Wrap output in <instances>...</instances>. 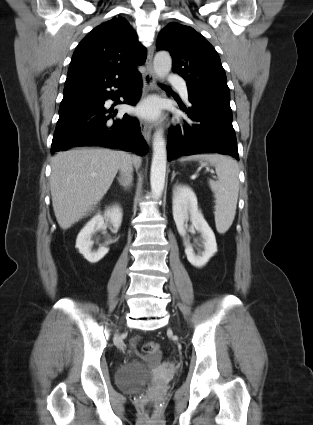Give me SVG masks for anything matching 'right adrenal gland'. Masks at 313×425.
I'll return each mask as SVG.
<instances>
[{
  "mask_svg": "<svg viewBox=\"0 0 313 425\" xmlns=\"http://www.w3.org/2000/svg\"><path fill=\"white\" fill-rule=\"evenodd\" d=\"M117 180L121 186L125 187L123 180L121 178H117Z\"/></svg>",
  "mask_w": 313,
  "mask_h": 425,
  "instance_id": "2a0ac1e0",
  "label": "right adrenal gland"
}]
</instances>
